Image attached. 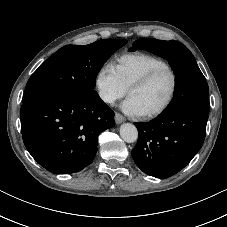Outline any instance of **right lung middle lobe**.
I'll list each match as a JSON object with an SVG mask.
<instances>
[{"instance_id":"1","label":"right lung middle lobe","mask_w":227,"mask_h":227,"mask_svg":"<svg viewBox=\"0 0 227 227\" xmlns=\"http://www.w3.org/2000/svg\"><path fill=\"white\" fill-rule=\"evenodd\" d=\"M126 43V40L106 39L84 46L60 48L31 75L23 102L55 93L82 97L96 94L98 72L106 60Z\"/></svg>"}]
</instances>
